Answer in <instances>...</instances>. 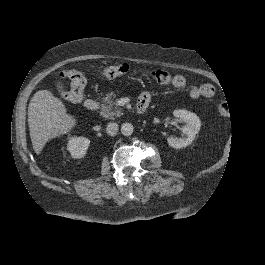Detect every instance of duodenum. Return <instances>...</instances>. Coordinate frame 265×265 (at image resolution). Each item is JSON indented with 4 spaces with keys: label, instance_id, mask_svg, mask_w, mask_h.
Segmentation results:
<instances>
[{
    "label": "duodenum",
    "instance_id": "410a0bca",
    "mask_svg": "<svg viewBox=\"0 0 265 265\" xmlns=\"http://www.w3.org/2000/svg\"><path fill=\"white\" fill-rule=\"evenodd\" d=\"M84 105H85L86 109H88L90 111H95L98 108V102L93 98H89V99L85 100ZM146 109H147L146 104H142V103L138 102V104L136 106V112L138 114L144 113L146 111Z\"/></svg>",
    "mask_w": 265,
    "mask_h": 265
}]
</instances>
